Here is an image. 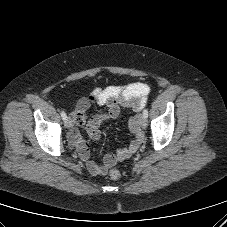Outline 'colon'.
<instances>
[{"instance_id":"colon-1","label":"colon","mask_w":227,"mask_h":227,"mask_svg":"<svg viewBox=\"0 0 227 227\" xmlns=\"http://www.w3.org/2000/svg\"><path fill=\"white\" fill-rule=\"evenodd\" d=\"M109 176H110L111 179L117 180V179H119L121 177V172L118 169H112L109 172Z\"/></svg>"}]
</instances>
